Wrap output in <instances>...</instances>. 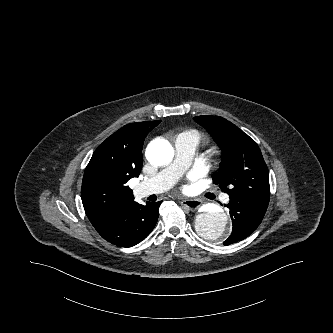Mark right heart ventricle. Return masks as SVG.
I'll return each instance as SVG.
<instances>
[{
	"label": "right heart ventricle",
	"instance_id": "1",
	"mask_svg": "<svg viewBox=\"0 0 333 333\" xmlns=\"http://www.w3.org/2000/svg\"><path fill=\"white\" fill-rule=\"evenodd\" d=\"M188 134H192L194 135L196 138L199 137L197 134L193 133V132H189Z\"/></svg>",
	"mask_w": 333,
	"mask_h": 333
}]
</instances>
